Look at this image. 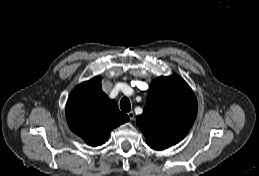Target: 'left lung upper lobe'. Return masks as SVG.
<instances>
[{
    "label": "left lung upper lobe",
    "mask_w": 259,
    "mask_h": 176,
    "mask_svg": "<svg viewBox=\"0 0 259 176\" xmlns=\"http://www.w3.org/2000/svg\"><path fill=\"white\" fill-rule=\"evenodd\" d=\"M197 114V100L189 85L178 75L152 81L143 114L137 125L147 144L163 150L188 133Z\"/></svg>",
    "instance_id": "left-lung-upper-lobe-1"
}]
</instances>
